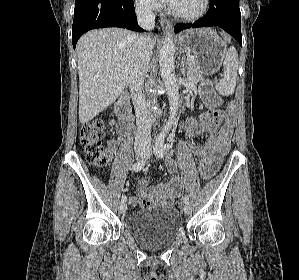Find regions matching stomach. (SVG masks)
<instances>
[{"label":"stomach","instance_id":"obj_1","mask_svg":"<svg viewBox=\"0 0 299 280\" xmlns=\"http://www.w3.org/2000/svg\"><path fill=\"white\" fill-rule=\"evenodd\" d=\"M179 45L195 56L200 71L204 75L216 73L225 58L226 43L211 28L191 29L179 36ZM203 97L210 102L215 100L213 85L209 81L200 84Z\"/></svg>","mask_w":299,"mask_h":280}]
</instances>
